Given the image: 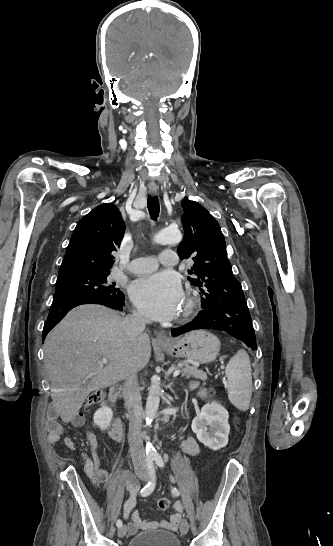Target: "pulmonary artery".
I'll return each mask as SVG.
<instances>
[{
  "mask_svg": "<svg viewBox=\"0 0 333 546\" xmlns=\"http://www.w3.org/2000/svg\"><path fill=\"white\" fill-rule=\"evenodd\" d=\"M177 259L176 252L165 250L158 257L147 256L132 260L128 270L133 274H146L156 270L159 264L174 266L177 264Z\"/></svg>",
  "mask_w": 333,
  "mask_h": 546,
  "instance_id": "1",
  "label": "pulmonary artery"
}]
</instances>
